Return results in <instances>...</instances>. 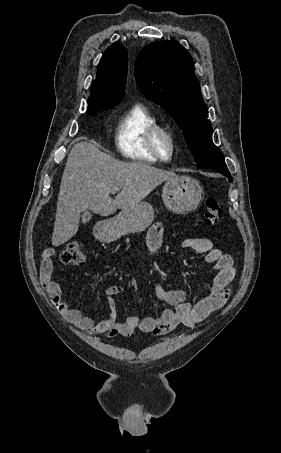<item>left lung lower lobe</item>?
<instances>
[{
	"label": "left lung lower lobe",
	"instance_id": "obj_1",
	"mask_svg": "<svg viewBox=\"0 0 281 453\" xmlns=\"http://www.w3.org/2000/svg\"><path fill=\"white\" fill-rule=\"evenodd\" d=\"M216 171H218L219 173H221V174H223L224 176L228 177L230 182L232 181V177H231L230 172L228 171V169H225V170H216Z\"/></svg>",
	"mask_w": 281,
	"mask_h": 453
}]
</instances>
